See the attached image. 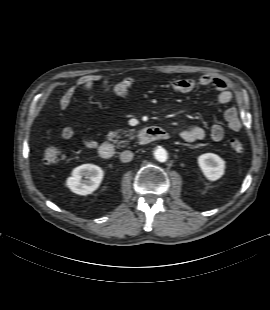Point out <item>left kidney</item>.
<instances>
[{
    "label": "left kidney",
    "instance_id": "obj_1",
    "mask_svg": "<svg viewBox=\"0 0 270 310\" xmlns=\"http://www.w3.org/2000/svg\"><path fill=\"white\" fill-rule=\"evenodd\" d=\"M198 165L204 176L210 181H216L224 175L225 161L214 153H205L198 157Z\"/></svg>",
    "mask_w": 270,
    "mask_h": 310
}]
</instances>
